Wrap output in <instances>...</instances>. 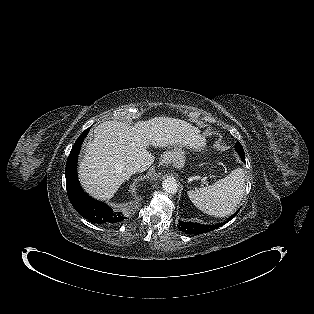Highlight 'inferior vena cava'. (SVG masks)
<instances>
[{
	"label": "inferior vena cava",
	"mask_w": 314,
	"mask_h": 314,
	"mask_svg": "<svg viewBox=\"0 0 314 314\" xmlns=\"http://www.w3.org/2000/svg\"><path fill=\"white\" fill-rule=\"evenodd\" d=\"M144 170L143 166L139 163H133L127 167V173L132 175L137 172H142Z\"/></svg>",
	"instance_id": "inferior-vena-cava-1"
}]
</instances>
